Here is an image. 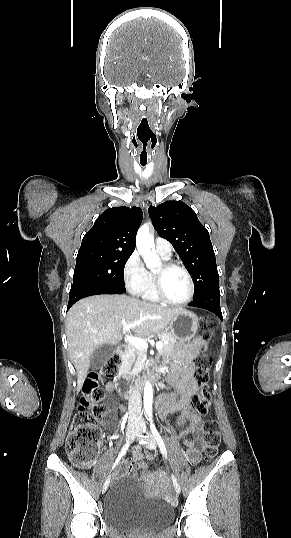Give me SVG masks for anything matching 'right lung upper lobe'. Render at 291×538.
<instances>
[{
    "mask_svg": "<svg viewBox=\"0 0 291 538\" xmlns=\"http://www.w3.org/2000/svg\"><path fill=\"white\" fill-rule=\"evenodd\" d=\"M143 213L138 207H114L103 212L83 237L79 251L133 252Z\"/></svg>",
    "mask_w": 291,
    "mask_h": 538,
    "instance_id": "cb5924a9",
    "label": "right lung upper lobe"
}]
</instances>
